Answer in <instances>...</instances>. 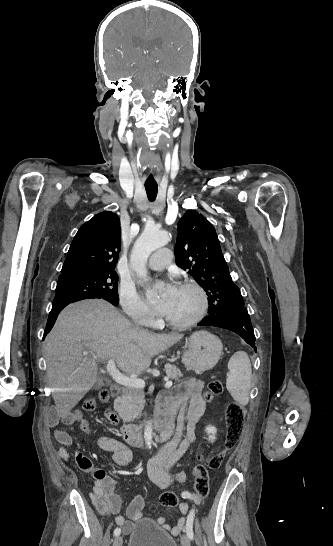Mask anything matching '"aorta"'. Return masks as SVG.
<instances>
[{
    "mask_svg": "<svg viewBox=\"0 0 333 546\" xmlns=\"http://www.w3.org/2000/svg\"><path fill=\"white\" fill-rule=\"evenodd\" d=\"M169 241V235L167 232L159 231L155 228H146L142 234L136 240L131 256L130 266L137 273V275L147 280L146 264L150 254L156 249L165 246ZM144 440L147 449L152 447V424L146 423L144 429Z\"/></svg>",
    "mask_w": 333,
    "mask_h": 546,
    "instance_id": "1",
    "label": "aorta"
}]
</instances>
